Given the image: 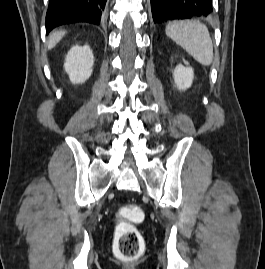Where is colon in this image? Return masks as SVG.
Masks as SVG:
<instances>
[{"label": "colon", "mask_w": 265, "mask_h": 269, "mask_svg": "<svg viewBox=\"0 0 265 269\" xmlns=\"http://www.w3.org/2000/svg\"><path fill=\"white\" fill-rule=\"evenodd\" d=\"M121 213L128 219L119 223L115 233V249L119 256L125 259H136L141 254L142 239L133 223L143 221L142 209L136 205H129L121 209Z\"/></svg>", "instance_id": "5ec220e1"}]
</instances>
